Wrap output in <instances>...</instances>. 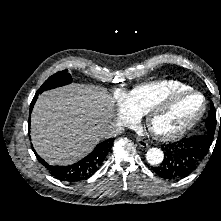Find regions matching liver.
<instances>
[{
    "label": "liver",
    "mask_w": 221,
    "mask_h": 221,
    "mask_svg": "<svg viewBox=\"0 0 221 221\" xmlns=\"http://www.w3.org/2000/svg\"><path fill=\"white\" fill-rule=\"evenodd\" d=\"M105 88L71 84L42 93L31 115L37 153L52 165H69L86 156L113 117Z\"/></svg>",
    "instance_id": "liver-1"
}]
</instances>
